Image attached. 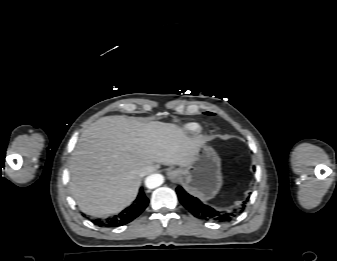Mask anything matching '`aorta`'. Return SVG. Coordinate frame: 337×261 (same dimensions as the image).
Segmentation results:
<instances>
[{
    "instance_id": "obj_1",
    "label": "aorta",
    "mask_w": 337,
    "mask_h": 261,
    "mask_svg": "<svg viewBox=\"0 0 337 261\" xmlns=\"http://www.w3.org/2000/svg\"><path fill=\"white\" fill-rule=\"evenodd\" d=\"M163 182H164L163 175L158 174V173L151 174L145 179V185L149 189L157 188L160 185H162Z\"/></svg>"
}]
</instances>
